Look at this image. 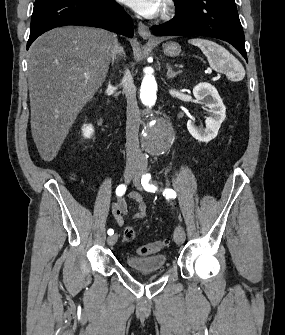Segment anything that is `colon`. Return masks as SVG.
<instances>
[{
    "instance_id": "1",
    "label": "colon",
    "mask_w": 285,
    "mask_h": 335,
    "mask_svg": "<svg viewBox=\"0 0 285 335\" xmlns=\"http://www.w3.org/2000/svg\"><path fill=\"white\" fill-rule=\"evenodd\" d=\"M135 238V230L131 226L125 227L123 231V240L126 242H131ZM168 245L166 240H158L150 244H145L137 248V253L139 255L145 256L161 251L164 247Z\"/></svg>"
}]
</instances>
